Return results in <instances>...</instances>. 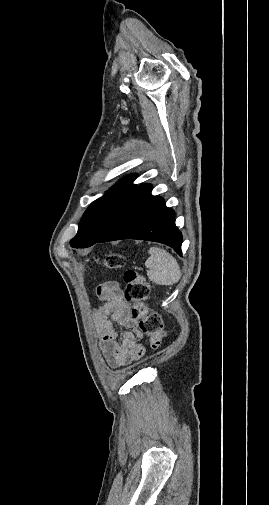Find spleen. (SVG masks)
<instances>
[{"label": "spleen", "instance_id": "1", "mask_svg": "<svg viewBox=\"0 0 269 505\" xmlns=\"http://www.w3.org/2000/svg\"><path fill=\"white\" fill-rule=\"evenodd\" d=\"M145 262L148 278L158 285H173L180 280L181 270L177 260L165 249L151 247Z\"/></svg>", "mask_w": 269, "mask_h": 505}]
</instances>
